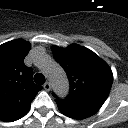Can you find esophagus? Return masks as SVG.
<instances>
[{"label":"esophagus","mask_w":128,"mask_h":128,"mask_svg":"<svg viewBox=\"0 0 128 128\" xmlns=\"http://www.w3.org/2000/svg\"><path fill=\"white\" fill-rule=\"evenodd\" d=\"M43 87H44V89H45L46 91H50V89H51V84H50L49 82H46Z\"/></svg>","instance_id":"34e87169"}]
</instances>
